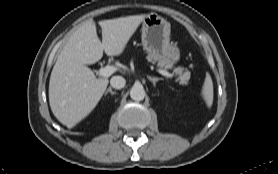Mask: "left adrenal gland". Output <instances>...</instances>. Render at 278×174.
<instances>
[{
  "label": "left adrenal gland",
  "mask_w": 278,
  "mask_h": 174,
  "mask_svg": "<svg viewBox=\"0 0 278 174\" xmlns=\"http://www.w3.org/2000/svg\"><path fill=\"white\" fill-rule=\"evenodd\" d=\"M147 78L153 83V86H156V83L160 80H162V78H157V77H151V76H147Z\"/></svg>",
  "instance_id": "a2214340"
}]
</instances>
